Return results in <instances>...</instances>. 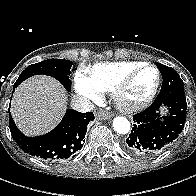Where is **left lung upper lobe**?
Instances as JSON below:
<instances>
[{
	"label": "left lung upper lobe",
	"mask_w": 196,
	"mask_h": 196,
	"mask_svg": "<svg viewBox=\"0 0 196 196\" xmlns=\"http://www.w3.org/2000/svg\"><path fill=\"white\" fill-rule=\"evenodd\" d=\"M156 65L158 69L160 70L161 74L163 73L162 71H168V72H171L174 77V79L171 78L170 80H167V81L163 80L162 88L158 95L160 96L185 95L184 88H183V82L181 78L179 77L178 73L174 69L168 66H165L163 64L156 63ZM172 80L174 82H172Z\"/></svg>",
	"instance_id": "obj_1"
}]
</instances>
